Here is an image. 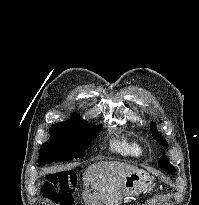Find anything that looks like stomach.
Wrapping results in <instances>:
<instances>
[{"mask_svg":"<svg viewBox=\"0 0 199 205\" xmlns=\"http://www.w3.org/2000/svg\"><path fill=\"white\" fill-rule=\"evenodd\" d=\"M152 178L146 172L128 173L123 181V193L125 197L135 196L151 186Z\"/></svg>","mask_w":199,"mask_h":205,"instance_id":"1","label":"stomach"}]
</instances>
